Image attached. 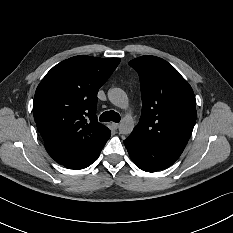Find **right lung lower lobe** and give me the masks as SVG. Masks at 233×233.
<instances>
[{
	"instance_id": "98d812e1",
	"label": "right lung lower lobe",
	"mask_w": 233,
	"mask_h": 233,
	"mask_svg": "<svg viewBox=\"0 0 233 233\" xmlns=\"http://www.w3.org/2000/svg\"><path fill=\"white\" fill-rule=\"evenodd\" d=\"M105 143L100 148H98L95 152H93L91 155H89L87 158H85L84 160L76 162V163H71V164H68V165H64V166L69 168V169H75V170L76 169H83V168L88 167L90 164H92L98 158V156H99L102 148L104 147Z\"/></svg>"
}]
</instances>
